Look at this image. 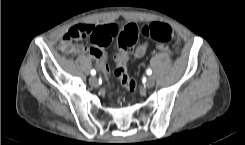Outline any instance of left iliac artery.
Masks as SVG:
<instances>
[{"instance_id": "left-iliac-artery-1", "label": "left iliac artery", "mask_w": 245, "mask_h": 145, "mask_svg": "<svg viewBox=\"0 0 245 145\" xmlns=\"http://www.w3.org/2000/svg\"><path fill=\"white\" fill-rule=\"evenodd\" d=\"M147 74H148V75H151V74H152V70H151V69H148V70H147Z\"/></svg>"}]
</instances>
